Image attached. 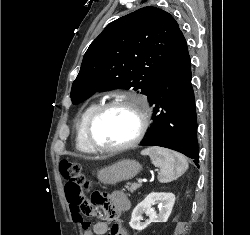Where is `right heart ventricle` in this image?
I'll return each instance as SVG.
<instances>
[{"label":"right heart ventricle","instance_id":"1","mask_svg":"<svg viewBox=\"0 0 250 235\" xmlns=\"http://www.w3.org/2000/svg\"><path fill=\"white\" fill-rule=\"evenodd\" d=\"M99 106V103L94 101L90 102L87 104L83 110L81 111L77 123H76V136H75V145L76 148L84 154H94L95 151L88 145L85 135H84V130L86 126V122L92 112Z\"/></svg>","mask_w":250,"mask_h":235}]
</instances>
